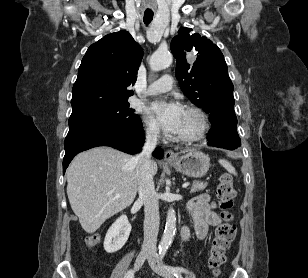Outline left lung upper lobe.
<instances>
[{"mask_svg":"<svg viewBox=\"0 0 308 278\" xmlns=\"http://www.w3.org/2000/svg\"><path fill=\"white\" fill-rule=\"evenodd\" d=\"M190 31L181 27L170 46L183 93L207 113L222 106L234 107V86L222 52L209 39Z\"/></svg>","mask_w":308,"mask_h":278,"instance_id":"left-lung-upper-lobe-1","label":"left lung upper lobe"}]
</instances>
